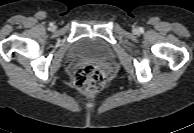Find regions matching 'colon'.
<instances>
[{
	"instance_id": "1",
	"label": "colon",
	"mask_w": 194,
	"mask_h": 133,
	"mask_svg": "<svg viewBox=\"0 0 194 133\" xmlns=\"http://www.w3.org/2000/svg\"><path fill=\"white\" fill-rule=\"evenodd\" d=\"M73 80L78 91L92 94L104 86L106 73L98 66L84 65L75 70Z\"/></svg>"
}]
</instances>
